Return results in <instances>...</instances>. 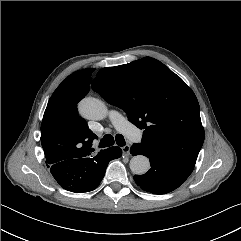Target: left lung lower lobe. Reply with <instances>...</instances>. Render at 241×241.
I'll use <instances>...</instances> for the list:
<instances>
[{
  "label": "left lung lower lobe",
  "instance_id": "1",
  "mask_svg": "<svg viewBox=\"0 0 241 241\" xmlns=\"http://www.w3.org/2000/svg\"><path fill=\"white\" fill-rule=\"evenodd\" d=\"M130 153L149 158L151 169L144 175H135L134 180L143 190L155 194H165L178 188L195 166L179 158L146 149L140 144H133Z\"/></svg>",
  "mask_w": 241,
  "mask_h": 241
}]
</instances>
